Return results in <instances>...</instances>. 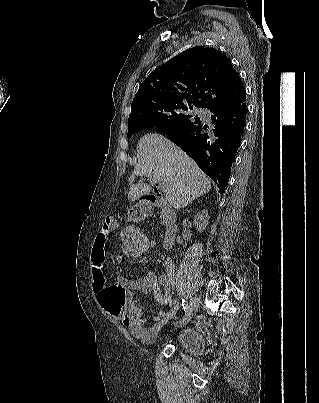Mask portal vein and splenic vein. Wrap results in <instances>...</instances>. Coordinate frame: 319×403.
<instances>
[{"label":"portal vein and splenic vein","mask_w":319,"mask_h":403,"mask_svg":"<svg viewBox=\"0 0 319 403\" xmlns=\"http://www.w3.org/2000/svg\"><path fill=\"white\" fill-rule=\"evenodd\" d=\"M160 188H161L162 191H165V192L167 190V186H166V184L164 182L160 183Z\"/></svg>","instance_id":"1"}]
</instances>
